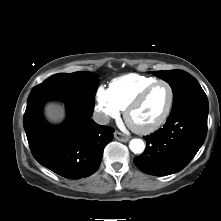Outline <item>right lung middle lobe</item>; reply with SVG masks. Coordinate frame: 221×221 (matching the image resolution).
I'll list each match as a JSON object with an SVG mask.
<instances>
[{"mask_svg": "<svg viewBox=\"0 0 221 221\" xmlns=\"http://www.w3.org/2000/svg\"><path fill=\"white\" fill-rule=\"evenodd\" d=\"M92 72L54 74L35 86L27 100V105L35 101L54 98L66 104L93 112L94 97L99 80Z\"/></svg>", "mask_w": 221, "mask_h": 221, "instance_id": "dd1d6c3e", "label": "right lung middle lobe"}]
</instances>
